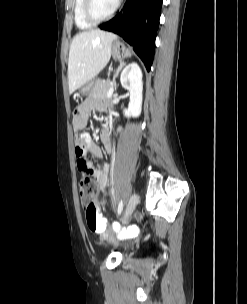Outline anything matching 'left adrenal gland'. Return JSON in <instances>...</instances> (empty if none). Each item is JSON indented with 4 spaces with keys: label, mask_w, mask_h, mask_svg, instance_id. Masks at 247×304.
I'll return each instance as SVG.
<instances>
[{
    "label": "left adrenal gland",
    "mask_w": 247,
    "mask_h": 304,
    "mask_svg": "<svg viewBox=\"0 0 247 304\" xmlns=\"http://www.w3.org/2000/svg\"><path fill=\"white\" fill-rule=\"evenodd\" d=\"M125 62H120V65L118 66L115 74L113 75V87H114V90L116 91L117 90V83H116V78L118 77L119 75V72L121 71V69L125 66Z\"/></svg>",
    "instance_id": "left-adrenal-gland-1"
}]
</instances>
